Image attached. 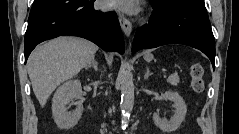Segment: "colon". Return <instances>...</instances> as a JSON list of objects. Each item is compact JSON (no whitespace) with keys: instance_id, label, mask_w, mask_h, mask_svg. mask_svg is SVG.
Listing matches in <instances>:
<instances>
[{"instance_id":"5ec220e1","label":"colon","mask_w":239,"mask_h":134,"mask_svg":"<svg viewBox=\"0 0 239 134\" xmlns=\"http://www.w3.org/2000/svg\"><path fill=\"white\" fill-rule=\"evenodd\" d=\"M190 75L192 78V87L194 91L200 92L203 89V68L199 63H194L190 67Z\"/></svg>"}]
</instances>
